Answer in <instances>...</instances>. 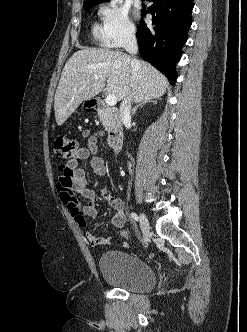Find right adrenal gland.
I'll use <instances>...</instances> for the list:
<instances>
[{
    "label": "right adrenal gland",
    "instance_id": "1",
    "mask_svg": "<svg viewBox=\"0 0 247 332\" xmlns=\"http://www.w3.org/2000/svg\"><path fill=\"white\" fill-rule=\"evenodd\" d=\"M147 103H153V104H156L157 101H156L155 99L142 101L141 103L137 104V105L133 108V110H132V115H134V114L136 113V111H137V109H138L139 107H143V106H144L145 104H147Z\"/></svg>",
    "mask_w": 247,
    "mask_h": 332
}]
</instances>
